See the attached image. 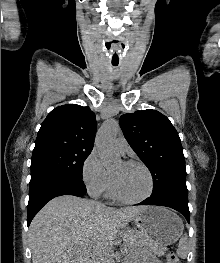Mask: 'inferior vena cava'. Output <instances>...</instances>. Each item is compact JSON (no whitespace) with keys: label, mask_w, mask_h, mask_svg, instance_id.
I'll return each mask as SVG.
<instances>
[{"label":"inferior vena cava","mask_w":220,"mask_h":263,"mask_svg":"<svg viewBox=\"0 0 220 263\" xmlns=\"http://www.w3.org/2000/svg\"><path fill=\"white\" fill-rule=\"evenodd\" d=\"M96 203L99 204V205H102L101 203H99V202H97V201H96Z\"/></svg>","instance_id":"1"}]
</instances>
